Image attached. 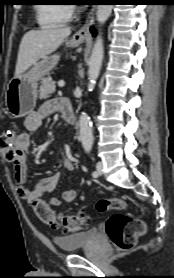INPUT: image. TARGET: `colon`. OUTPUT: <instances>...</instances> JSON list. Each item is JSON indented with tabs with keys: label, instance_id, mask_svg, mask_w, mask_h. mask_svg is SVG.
<instances>
[{
	"label": "colon",
	"instance_id": "colon-1",
	"mask_svg": "<svg viewBox=\"0 0 174 278\" xmlns=\"http://www.w3.org/2000/svg\"><path fill=\"white\" fill-rule=\"evenodd\" d=\"M13 138V132L0 136V152L7 161H13L15 158ZM126 206V201L121 198L102 199L97 203V210L99 212L121 211ZM33 208L42 222L65 232L81 230L88 225L90 220L89 214L85 211L73 215L56 214L40 199L33 203ZM105 229L109 239L118 249L128 250L136 244L138 237L145 233L146 225L140 219L117 213L108 217L105 222Z\"/></svg>",
	"mask_w": 174,
	"mask_h": 278
}]
</instances>
